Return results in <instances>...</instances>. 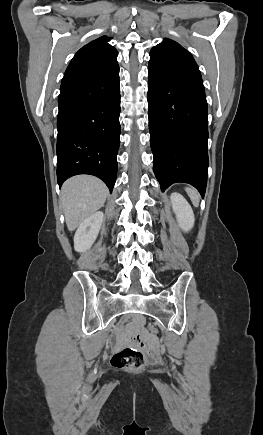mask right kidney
Wrapping results in <instances>:
<instances>
[{
  "instance_id": "1",
  "label": "right kidney",
  "mask_w": 263,
  "mask_h": 435,
  "mask_svg": "<svg viewBox=\"0 0 263 435\" xmlns=\"http://www.w3.org/2000/svg\"><path fill=\"white\" fill-rule=\"evenodd\" d=\"M104 220L103 212H96L86 218L78 227L74 236V249L85 252L96 240Z\"/></svg>"
}]
</instances>
